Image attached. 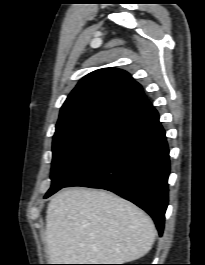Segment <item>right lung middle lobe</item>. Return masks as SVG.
Returning <instances> with one entry per match:
<instances>
[{
    "label": "right lung middle lobe",
    "mask_w": 205,
    "mask_h": 265,
    "mask_svg": "<svg viewBox=\"0 0 205 265\" xmlns=\"http://www.w3.org/2000/svg\"><path fill=\"white\" fill-rule=\"evenodd\" d=\"M124 127L120 124L99 123L55 133L51 168L52 184L45 197L65 187Z\"/></svg>",
    "instance_id": "1"
}]
</instances>
